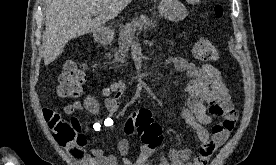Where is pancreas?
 Instances as JSON below:
<instances>
[{"label":"pancreas","instance_id":"1","mask_svg":"<svg viewBox=\"0 0 276 165\" xmlns=\"http://www.w3.org/2000/svg\"><path fill=\"white\" fill-rule=\"evenodd\" d=\"M157 25L156 21L149 19L145 15L135 17L129 21L119 34L118 44L119 49L115 51L114 57L118 62H124L127 57L129 47L133 44L136 31H142L143 29H152Z\"/></svg>","mask_w":276,"mask_h":165}]
</instances>
